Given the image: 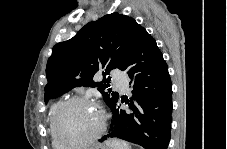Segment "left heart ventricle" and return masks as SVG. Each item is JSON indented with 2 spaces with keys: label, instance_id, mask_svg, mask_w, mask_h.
Wrapping results in <instances>:
<instances>
[{
  "label": "left heart ventricle",
  "instance_id": "left-heart-ventricle-1",
  "mask_svg": "<svg viewBox=\"0 0 227 149\" xmlns=\"http://www.w3.org/2000/svg\"><path fill=\"white\" fill-rule=\"evenodd\" d=\"M100 113L91 103H73L62 112L59 127L66 141H80L91 136L99 127Z\"/></svg>",
  "mask_w": 227,
  "mask_h": 149
}]
</instances>
